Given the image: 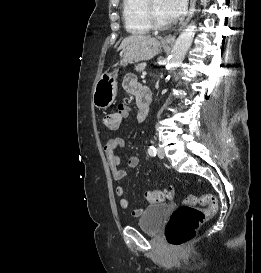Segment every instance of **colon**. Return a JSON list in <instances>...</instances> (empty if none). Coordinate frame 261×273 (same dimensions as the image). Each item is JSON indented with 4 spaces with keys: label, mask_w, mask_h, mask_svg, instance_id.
Here are the masks:
<instances>
[{
    "label": "colon",
    "mask_w": 261,
    "mask_h": 273,
    "mask_svg": "<svg viewBox=\"0 0 261 273\" xmlns=\"http://www.w3.org/2000/svg\"><path fill=\"white\" fill-rule=\"evenodd\" d=\"M123 112L110 113L104 116V125L110 130L118 129ZM173 188L148 190L145 193L150 203H160L173 197ZM195 205L205 206V209L196 208ZM218 212V202L214 195H188L182 206L171 215L166 228L165 236L168 243L175 249L185 247L196 235L199 226Z\"/></svg>",
    "instance_id": "obj_1"
}]
</instances>
